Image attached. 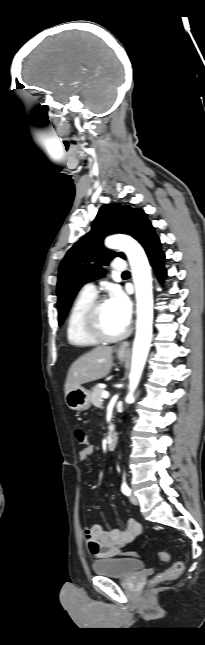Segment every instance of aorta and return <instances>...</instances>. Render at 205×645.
I'll list each match as a JSON object with an SVG mask.
<instances>
[{
  "label": "aorta",
  "instance_id": "aorta-1",
  "mask_svg": "<svg viewBox=\"0 0 205 645\" xmlns=\"http://www.w3.org/2000/svg\"><path fill=\"white\" fill-rule=\"evenodd\" d=\"M105 245L110 249H120L128 257L136 288L137 322L136 336L133 345L132 365L130 372L129 393L126 402H131L138 386L148 356L153 323V294L151 269L143 248L128 236L115 235L106 239Z\"/></svg>",
  "mask_w": 205,
  "mask_h": 645
}]
</instances>
